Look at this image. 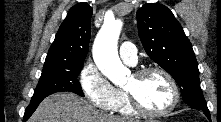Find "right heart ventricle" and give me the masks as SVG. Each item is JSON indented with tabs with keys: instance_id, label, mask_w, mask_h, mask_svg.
Here are the masks:
<instances>
[{
	"instance_id": "right-heart-ventricle-1",
	"label": "right heart ventricle",
	"mask_w": 221,
	"mask_h": 122,
	"mask_svg": "<svg viewBox=\"0 0 221 122\" xmlns=\"http://www.w3.org/2000/svg\"><path fill=\"white\" fill-rule=\"evenodd\" d=\"M110 110L123 116H134L137 114L132 108L125 90L122 89H115V99Z\"/></svg>"
}]
</instances>
